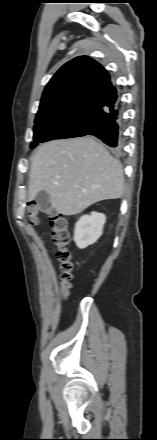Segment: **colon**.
Returning a JSON list of instances; mask_svg holds the SVG:
<instances>
[{"label": "colon", "mask_w": 157, "mask_h": 440, "mask_svg": "<svg viewBox=\"0 0 157 440\" xmlns=\"http://www.w3.org/2000/svg\"><path fill=\"white\" fill-rule=\"evenodd\" d=\"M41 213L42 209L37 203H29L28 218L31 223H37L38 217ZM45 213L49 218V227L51 230L52 240L58 247L57 258L60 261L62 269L61 295L65 298L67 297L70 289L71 271L73 269L71 255L68 251V245L70 242L68 220L62 214L52 208L45 210Z\"/></svg>", "instance_id": "5ec220e1"}]
</instances>
